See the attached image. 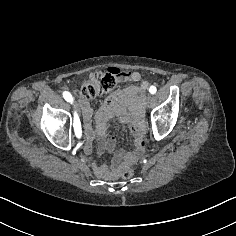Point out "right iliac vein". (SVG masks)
<instances>
[{
    "label": "right iliac vein",
    "instance_id": "1",
    "mask_svg": "<svg viewBox=\"0 0 236 236\" xmlns=\"http://www.w3.org/2000/svg\"><path fill=\"white\" fill-rule=\"evenodd\" d=\"M75 106H76V110L78 114H81V105H79V102H74Z\"/></svg>",
    "mask_w": 236,
    "mask_h": 236
}]
</instances>
